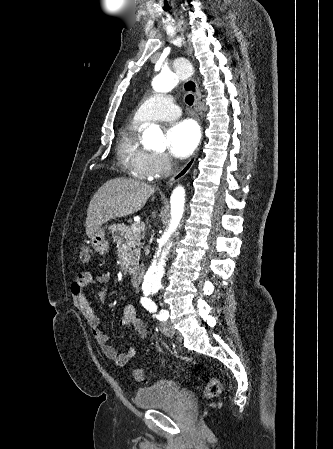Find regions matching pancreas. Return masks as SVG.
<instances>
[{"label": "pancreas", "instance_id": "cf45deb5", "mask_svg": "<svg viewBox=\"0 0 333 449\" xmlns=\"http://www.w3.org/2000/svg\"><path fill=\"white\" fill-rule=\"evenodd\" d=\"M113 241L118 245L125 244L128 250L129 263L137 264L140 259L141 231L133 232L131 227L124 224H117L111 227Z\"/></svg>", "mask_w": 333, "mask_h": 449}]
</instances>
